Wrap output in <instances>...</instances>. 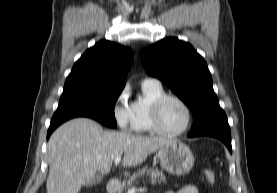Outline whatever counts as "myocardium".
<instances>
[{
  "label": "myocardium",
  "instance_id": "f54148a6",
  "mask_svg": "<svg viewBox=\"0 0 277 193\" xmlns=\"http://www.w3.org/2000/svg\"><path fill=\"white\" fill-rule=\"evenodd\" d=\"M170 99L179 102L184 107L187 114V121L185 126L182 129L175 132L166 131L161 124V108L163 104ZM192 119V111L188 103L183 98L175 94H163L162 96L155 99L150 107V121L152 130L154 133L164 137H178L186 133L192 124Z\"/></svg>",
  "mask_w": 277,
  "mask_h": 193
}]
</instances>
